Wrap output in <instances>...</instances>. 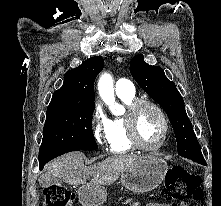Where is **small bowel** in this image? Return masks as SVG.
Listing matches in <instances>:
<instances>
[{"instance_id":"1","label":"small bowel","mask_w":221,"mask_h":206,"mask_svg":"<svg viewBox=\"0 0 221 206\" xmlns=\"http://www.w3.org/2000/svg\"><path fill=\"white\" fill-rule=\"evenodd\" d=\"M147 206H187L184 203L181 204H175V203H170V204H163V203H154V204H149Z\"/></svg>"}]
</instances>
